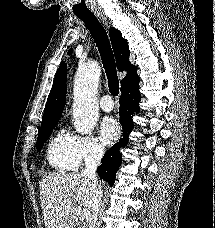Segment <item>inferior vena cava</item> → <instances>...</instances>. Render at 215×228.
Returning a JSON list of instances; mask_svg holds the SVG:
<instances>
[{
    "instance_id": "1",
    "label": "inferior vena cava",
    "mask_w": 215,
    "mask_h": 228,
    "mask_svg": "<svg viewBox=\"0 0 215 228\" xmlns=\"http://www.w3.org/2000/svg\"><path fill=\"white\" fill-rule=\"evenodd\" d=\"M104 150L103 148H93L90 156L85 158V170H82L81 176H86L90 180V190H92V216L89 218L88 228H98V212L100 210L103 190L101 184L97 180L96 170L100 166V162L103 158Z\"/></svg>"
}]
</instances>
